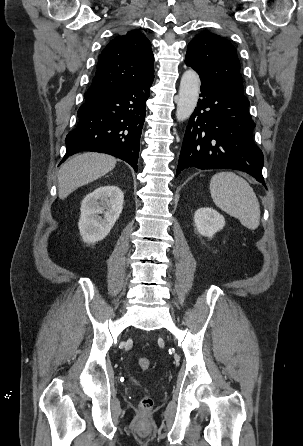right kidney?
Listing matches in <instances>:
<instances>
[{"mask_svg": "<svg viewBox=\"0 0 303 446\" xmlns=\"http://www.w3.org/2000/svg\"><path fill=\"white\" fill-rule=\"evenodd\" d=\"M123 202V192L113 185L100 186L85 196L78 222L85 243L94 244L109 234L122 212Z\"/></svg>", "mask_w": 303, "mask_h": 446, "instance_id": "obj_1", "label": "right kidney"}]
</instances>
